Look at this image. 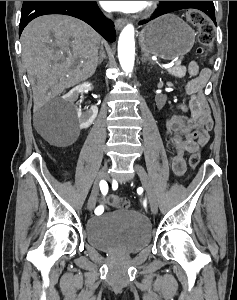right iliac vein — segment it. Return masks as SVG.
<instances>
[{"mask_svg": "<svg viewBox=\"0 0 237 300\" xmlns=\"http://www.w3.org/2000/svg\"><path fill=\"white\" fill-rule=\"evenodd\" d=\"M108 176L107 173V167H103L100 172L98 173L97 179L94 182L93 188L91 195L89 197L88 203H87V208L90 210L95 207L97 203V196H98V191H99V184L102 180H105Z\"/></svg>", "mask_w": 237, "mask_h": 300, "instance_id": "obj_1", "label": "right iliac vein"}]
</instances>
